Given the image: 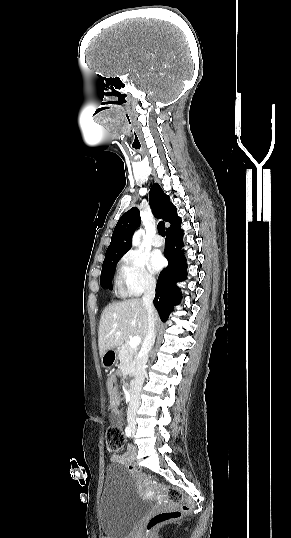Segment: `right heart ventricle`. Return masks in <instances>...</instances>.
Wrapping results in <instances>:
<instances>
[{"instance_id":"1","label":"right heart ventricle","mask_w":291,"mask_h":538,"mask_svg":"<svg viewBox=\"0 0 291 538\" xmlns=\"http://www.w3.org/2000/svg\"><path fill=\"white\" fill-rule=\"evenodd\" d=\"M115 287L119 295L125 296L128 294L126 288L124 287V281L120 271L117 272L115 277Z\"/></svg>"}]
</instances>
